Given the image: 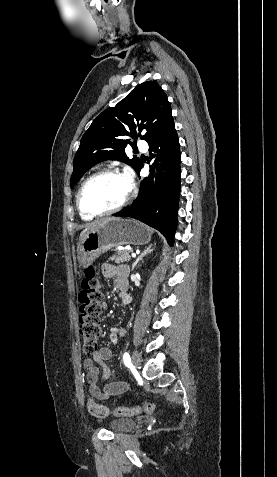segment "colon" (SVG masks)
I'll return each mask as SVG.
<instances>
[{"mask_svg":"<svg viewBox=\"0 0 277 477\" xmlns=\"http://www.w3.org/2000/svg\"><path fill=\"white\" fill-rule=\"evenodd\" d=\"M103 295L101 282L93 268H88L79 292V331L83 340L84 350L92 354L97 350L100 337V314L103 309ZM155 408L154 403L145 402L137 407H116L110 409L93 400L88 402V409L92 416L105 418L109 415L133 416L139 413H151Z\"/></svg>","mask_w":277,"mask_h":477,"instance_id":"colon-1","label":"colon"}]
</instances>
